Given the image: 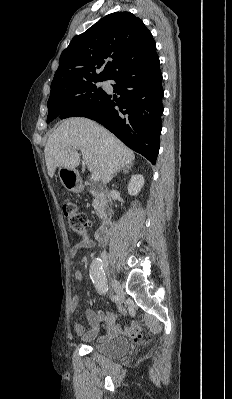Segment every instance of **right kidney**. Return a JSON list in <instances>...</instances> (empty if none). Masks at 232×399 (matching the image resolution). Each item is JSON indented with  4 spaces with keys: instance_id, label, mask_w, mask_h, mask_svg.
Instances as JSON below:
<instances>
[{
    "instance_id": "right-kidney-1",
    "label": "right kidney",
    "mask_w": 232,
    "mask_h": 399,
    "mask_svg": "<svg viewBox=\"0 0 232 399\" xmlns=\"http://www.w3.org/2000/svg\"><path fill=\"white\" fill-rule=\"evenodd\" d=\"M143 186L144 178L143 176H141V174H136V176H132L128 184V194H130V196H137Z\"/></svg>"
}]
</instances>
